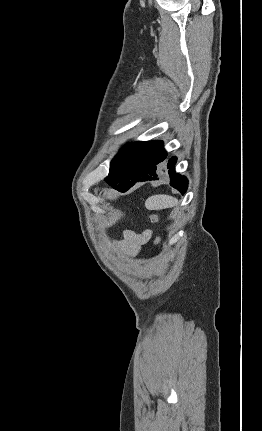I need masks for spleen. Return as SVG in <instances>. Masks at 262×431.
<instances>
[{"mask_svg": "<svg viewBox=\"0 0 262 431\" xmlns=\"http://www.w3.org/2000/svg\"><path fill=\"white\" fill-rule=\"evenodd\" d=\"M178 204V200L172 196L159 194L149 197L145 206L148 210H162L174 207Z\"/></svg>", "mask_w": 262, "mask_h": 431, "instance_id": "obj_1", "label": "spleen"}]
</instances>
